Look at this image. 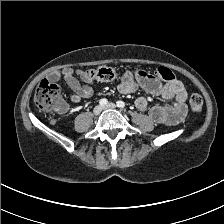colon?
Masks as SVG:
<instances>
[{"mask_svg": "<svg viewBox=\"0 0 224 224\" xmlns=\"http://www.w3.org/2000/svg\"><path fill=\"white\" fill-rule=\"evenodd\" d=\"M156 73L163 81L170 82L175 79L173 72L166 67H159ZM86 74L93 82H111L118 76L117 70L108 66L90 69ZM34 103L39 111L47 113L63 111L66 108L60 87L46 80L41 81L37 86ZM189 105L193 112L199 113L203 107L201 95L192 93L189 97Z\"/></svg>", "mask_w": 224, "mask_h": 224, "instance_id": "colon-1", "label": "colon"}]
</instances>
